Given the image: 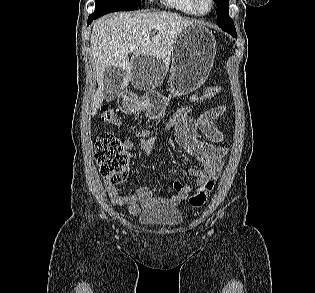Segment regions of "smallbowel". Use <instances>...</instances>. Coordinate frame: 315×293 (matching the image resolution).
Segmentation results:
<instances>
[{
    "mask_svg": "<svg viewBox=\"0 0 315 293\" xmlns=\"http://www.w3.org/2000/svg\"><path fill=\"white\" fill-rule=\"evenodd\" d=\"M213 97L202 100L198 95H193L190 100L200 107L203 102L214 99ZM226 108L222 105L213 106L205 111H196V117L188 114L180 117L169 128L174 129L176 144L189 156L195 159L201 168H191L190 175L196 178L194 186L183 184L176 180L173 183L174 193L169 197H156L155 187L141 186L134 194H121L115 185L105 183V189L113 205L127 206L129 211L136 215L141 209L165 205L175 207L187 199L188 195L208 179L217 175L224 164L227 148L219 145L224 140V133L214 124L215 120L223 116ZM202 132L210 142L202 141L197 137V132ZM158 143L153 136L142 137L140 147L145 155H150ZM128 149H132V140L126 141Z\"/></svg>",
    "mask_w": 315,
    "mask_h": 293,
    "instance_id": "1",
    "label": "small bowel"
}]
</instances>
